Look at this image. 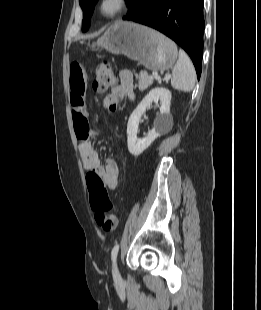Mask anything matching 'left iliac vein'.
Instances as JSON below:
<instances>
[{"mask_svg":"<svg viewBox=\"0 0 261 310\" xmlns=\"http://www.w3.org/2000/svg\"><path fill=\"white\" fill-rule=\"evenodd\" d=\"M113 277L116 281L120 280L121 278L116 261L113 264Z\"/></svg>","mask_w":261,"mask_h":310,"instance_id":"1","label":"left iliac vein"}]
</instances>
